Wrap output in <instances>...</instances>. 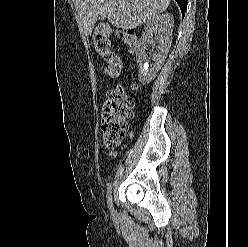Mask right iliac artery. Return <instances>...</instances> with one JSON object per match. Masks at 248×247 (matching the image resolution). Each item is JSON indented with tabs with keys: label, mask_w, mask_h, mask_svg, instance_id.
Listing matches in <instances>:
<instances>
[{
	"label": "right iliac artery",
	"mask_w": 248,
	"mask_h": 247,
	"mask_svg": "<svg viewBox=\"0 0 248 247\" xmlns=\"http://www.w3.org/2000/svg\"><path fill=\"white\" fill-rule=\"evenodd\" d=\"M111 190H112V186L110 184L109 187H108V190H107V196L106 197H107V204H108L109 210L113 214L114 213V208H113V204H112Z\"/></svg>",
	"instance_id": "obj_1"
}]
</instances>
